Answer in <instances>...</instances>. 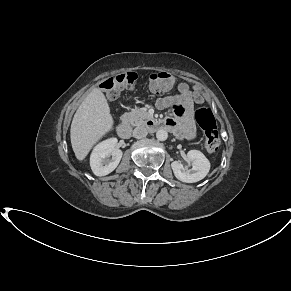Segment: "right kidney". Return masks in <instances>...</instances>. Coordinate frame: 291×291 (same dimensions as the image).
Here are the masks:
<instances>
[{"label":"right kidney","mask_w":291,"mask_h":291,"mask_svg":"<svg viewBox=\"0 0 291 291\" xmlns=\"http://www.w3.org/2000/svg\"><path fill=\"white\" fill-rule=\"evenodd\" d=\"M117 139L110 138L99 143L90 156V166L96 176H105L118 166L123 152L116 148ZM112 156V158H110Z\"/></svg>","instance_id":"ca27d5eb"}]
</instances>
